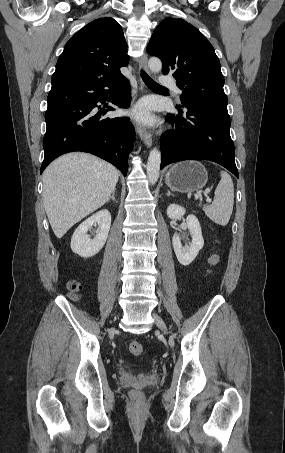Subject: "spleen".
I'll list each match as a JSON object with an SVG mask.
<instances>
[{"mask_svg": "<svg viewBox=\"0 0 285 453\" xmlns=\"http://www.w3.org/2000/svg\"><path fill=\"white\" fill-rule=\"evenodd\" d=\"M221 180L218 183L212 204L203 206L206 216L221 226L228 224L233 211L234 186L231 176L221 171Z\"/></svg>", "mask_w": 285, "mask_h": 453, "instance_id": "3e777b00", "label": "spleen"}]
</instances>
